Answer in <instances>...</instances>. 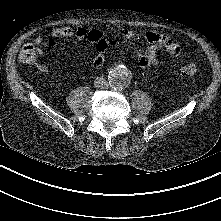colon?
Listing matches in <instances>:
<instances>
[{
	"instance_id": "obj_1",
	"label": "colon",
	"mask_w": 221,
	"mask_h": 221,
	"mask_svg": "<svg viewBox=\"0 0 221 221\" xmlns=\"http://www.w3.org/2000/svg\"><path fill=\"white\" fill-rule=\"evenodd\" d=\"M113 43H114L113 41L109 42L106 40H102L96 45V49L99 51H105L108 45ZM37 57H38V48L31 43L24 45L19 53V59L24 64H34L37 61ZM181 71L183 75L188 77H193L197 74L198 67L195 62L189 61L182 67Z\"/></svg>"
}]
</instances>
